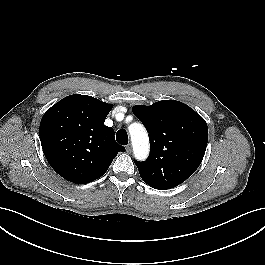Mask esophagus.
<instances>
[{
    "instance_id": "34e87169",
    "label": "esophagus",
    "mask_w": 265,
    "mask_h": 265,
    "mask_svg": "<svg viewBox=\"0 0 265 265\" xmlns=\"http://www.w3.org/2000/svg\"><path fill=\"white\" fill-rule=\"evenodd\" d=\"M131 151H132V146H131V144H128V145L126 146V152H127V153H131Z\"/></svg>"
}]
</instances>
